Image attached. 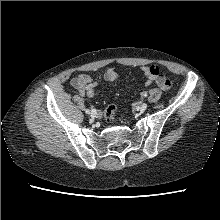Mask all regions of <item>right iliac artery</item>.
<instances>
[{
    "instance_id": "right-iliac-artery-1",
    "label": "right iliac artery",
    "mask_w": 220,
    "mask_h": 220,
    "mask_svg": "<svg viewBox=\"0 0 220 220\" xmlns=\"http://www.w3.org/2000/svg\"><path fill=\"white\" fill-rule=\"evenodd\" d=\"M85 112H86L87 114H90V110H89V109H86Z\"/></svg>"
}]
</instances>
